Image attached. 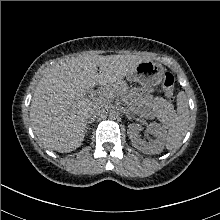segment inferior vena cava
<instances>
[{"label":"inferior vena cava","instance_id":"1","mask_svg":"<svg viewBox=\"0 0 220 220\" xmlns=\"http://www.w3.org/2000/svg\"><path fill=\"white\" fill-rule=\"evenodd\" d=\"M104 105H95L89 111L90 119L97 117L104 111Z\"/></svg>","mask_w":220,"mask_h":220}]
</instances>
